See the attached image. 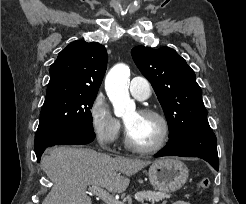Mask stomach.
Returning <instances> with one entry per match:
<instances>
[{"label": "stomach", "mask_w": 246, "mask_h": 204, "mask_svg": "<svg viewBox=\"0 0 246 204\" xmlns=\"http://www.w3.org/2000/svg\"><path fill=\"white\" fill-rule=\"evenodd\" d=\"M186 165L173 158L156 160L148 170V176L154 189L165 192L179 190L188 179Z\"/></svg>", "instance_id": "1"}]
</instances>
